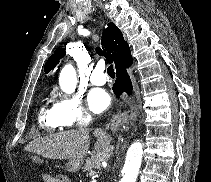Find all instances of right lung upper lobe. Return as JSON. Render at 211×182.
I'll return each instance as SVG.
<instances>
[{"label": "right lung upper lobe", "mask_w": 211, "mask_h": 182, "mask_svg": "<svg viewBox=\"0 0 211 182\" xmlns=\"http://www.w3.org/2000/svg\"><path fill=\"white\" fill-rule=\"evenodd\" d=\"M102 49L97 48V53L104 55L109 62H118L126 48V41L119 28L114 23H108L102 34ZM65 49H57L47 60L44 71L48 73L59 63V59L65 56Z\"/></svg>", "instance_id": "1"}]
</instances>
